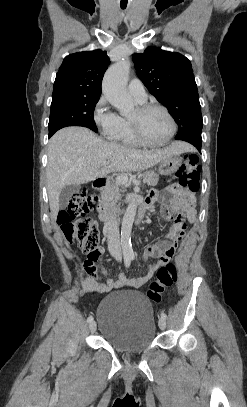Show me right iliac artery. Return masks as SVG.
Wrapping results in <instances>:
<instances>
[{"instance_id": "82829eb1", "label": "right iliac artery", "mask_w": 247, "mask_h": 407, "mask_svg": "<svg viewBox=\"0 0 247 407\" xmlns=\"http://www.w3.org/2000/svg\"><path fill=\"white\" fill-rule=\"evenodd\" d=\"M124 263H125V266L126 267H129L130 266V263H131V258L130 257H125L124 258ZM93 321V317L92 316H89L88 318H87V322L88 323H91Z\"/></svg>"}]
</instances>
